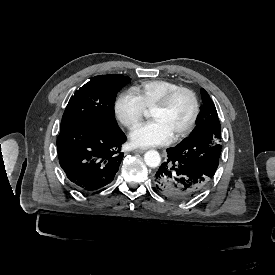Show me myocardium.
Returning <instances> with one entry per match:
<instances>
[{
	"mask_svg": "<svg viewBox=\"0 0 275 275\" xmlns=\"http://www.w3.org/2000/svg\"><path fill=\"white\" fill-rule=\"evenodd\" d=\"M180 92H184L190 97L192 101V114L188 123L178 133L170 138L171 141H176L185 137L192 131L193 127L195 126L199 116V102L196 94L188 87L176 86L175 88L169 90L156 104L151 107V111L167 108L173 98Z\"/></svg>",
	"mask_w": 275,
	"mask_h": 275,
	"instance_id": "obj_1",
	"label": "myocardium"
}]
</instances>
